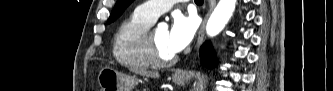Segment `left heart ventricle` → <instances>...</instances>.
<instances>
[{
	"instance_id": "obj_1",
	"label": "left heart ventricle",
	"mask_w": 333,
	"mask_h": 91,
	"mask_svg": "<svg viewBox=\"0 0 333 91\" xmlns=\"http://www.w3.org/2000/svg\"><path fill=\"white\" fill-rule=\"evenodd\" d=\"M153 39L155 44L164 58L175 55L168 46V30L165 28H157L153 31Z\"/></svg>"
}]
</instances>
